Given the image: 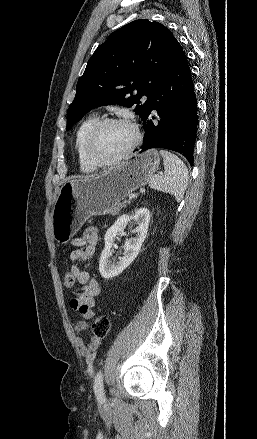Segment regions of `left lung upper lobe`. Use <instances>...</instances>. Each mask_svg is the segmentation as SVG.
Instances as JSON below:
<instances>
[{"label":"left lung upper lobe","instance_id":"obj_1","mask_svg":"<svg viewBox=\"0 0 257 439\" xmlns=\"http://www.w3.org/2000/svg\"><path fill=\"white\" fill-rule=\"evenodd\" d=\"M177 45L167 27L147 19L114 31L96 49L78 80L67 113V129L92 108L110 104L135 106V113L143 121Z\"/></svg>","mask_w":257,"mask_h":439}]
</instances>
